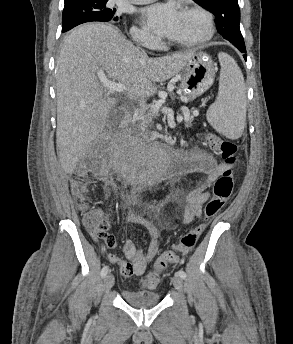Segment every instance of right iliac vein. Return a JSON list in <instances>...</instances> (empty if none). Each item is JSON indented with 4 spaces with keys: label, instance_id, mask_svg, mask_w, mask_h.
Here are the masks:
<instances>
[{
    "label": "right iliac vein",
    "instance_id": "1",
    "mask_svg": "<svg viewBox=\"0 0 293 344\" xmlns=\"http://www.w3.org/2000/svg\"><path fill=\"white\" fill-rule=\"evenodd\" d=\"M115 279L113 274L109 273L104 278V289L109 291L114 285Z\"/></svg>",
    "mask_w": 293,
    "mask_h": 344
}]
</instances>
